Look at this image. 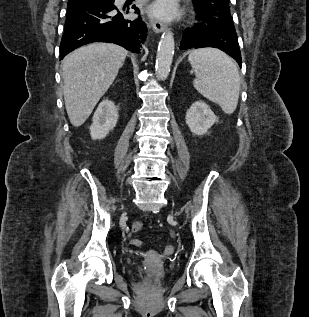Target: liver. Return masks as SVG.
I'll use <instances>...</instances> for the list:
<instances>
[{"label": "liver", "mask_w": 309, "mask_h": 317, "mask_svg": "<svg viewBox=\"0 0 309 317\" xmlns=\"http://www.w3.org/2000/svg\"><path fill=\"white\" fill-rule=\"evenodd\" d=\"M128 52L111 43H93L67 55L62 62L63 94L69 120L81 126L106 93Z\"/></svg>", "instance_id": "obj_1"}]
</instances>
